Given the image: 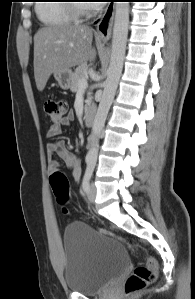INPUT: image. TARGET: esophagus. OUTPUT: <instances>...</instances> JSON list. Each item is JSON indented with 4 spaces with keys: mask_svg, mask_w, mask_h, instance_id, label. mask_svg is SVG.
Wrapping results in <instances>:
<instances>
[{
    "mask_svg": "<svg viewBox=\"0 0 195 299\" xmlns=\"http://www.w3.org/2000/svg\"><path fill=\"white\" fill-rule=\"evenodd\" d=\"M115 4L110 1L97 24V32L101 38L108 39L112 33Z\"/></svg>",
    "mask_w": 195,
    "mask_h": 299,
    "instance_id": "esophagus-1",
    "label": "esophagus"
}]
</instances>
